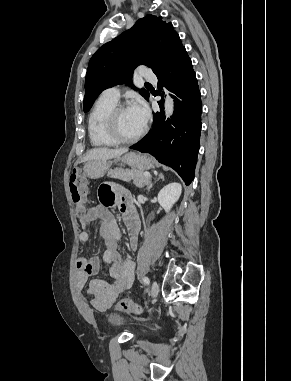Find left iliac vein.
Instances as JSON below:
<instances>
[{"label": "left iliac vein", "instance_id": "1", "mask_svg": "<svg viewBox=\"0 0 291 381\" xmlns=\"http://www.w3.org/2000/svg\"><path fill=\"white\" fill-rule=\"evenodd\" d=\"M159 292V286L156 281H153L152 288H151V297L156 298Z\"/></svg>", "mask_w": 291, "mask_h": 381}]
</instances>
